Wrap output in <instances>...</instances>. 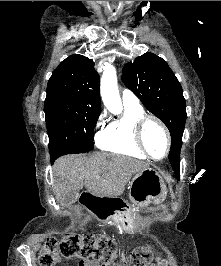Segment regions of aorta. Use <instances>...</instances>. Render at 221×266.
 Instances as JSON below:
<instances>
[{"mask_svg": "<svg viewBox=\"0 0 221 266\" xmlns=\"http://www.w3.org/2000/svg\"><path fill=\"white\" fill-rule=\"evenodd\" d=\"M100 93L105 107L111 113L118 115L122 112L116 70L112 65H107L104 68L100 82Z\"/></svg>", "mask_w": 221, "mask_h": 266, "instance_id": "762f6f07", "label": "aorta"}]
</instances>
